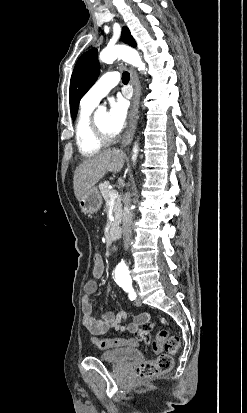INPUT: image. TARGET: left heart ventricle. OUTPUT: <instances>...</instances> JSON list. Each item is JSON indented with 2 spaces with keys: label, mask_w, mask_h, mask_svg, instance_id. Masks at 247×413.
<instances>
[{
  "label": "left heart ventricle",
  "mask_w": 247,
  "mask_h": 413,
  "mask_svg": "<svg viewBox=\"0 0 247 413\" xmlns=\"http://www.w3.org/2000/svg\"><path fill=\"white\" fill-rule=\"evenodd\" d=\"M99 124H100V125H104V124H105V117H101V118L99 119ZM106 127H107V125H106ZM103 131H104L105 134L110 135V133H109V131H108L107 128H103ZM110 136H111V135H110Z\"/></svg>",
  "instance_id": "left-heart-ventricle-1"
}]
</instances>
